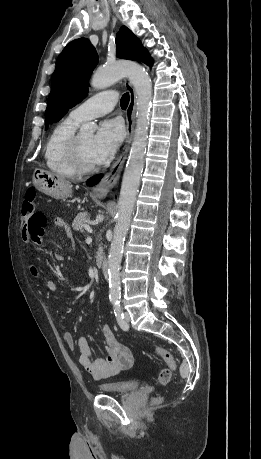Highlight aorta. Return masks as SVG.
Segmentation results:
<instances>
[{"label":"aorta","mask_w":261,"mask_h":459,"mask_svg":"<svg viewBox=\"0 0 261 459\" xmlns=\"http://www.w3.org/2000/svg\"><path fill=\"white\" fill-rule=\"evenodd\" d=\"M123 77H128L136 92V128L122 179L117 222L108 256L109 297L112 301L120 299V264L144 168L150 124L152 83L148 73L139 64L133 62H119L99 68L91 80V86L94 89H105ZM96 128L95 123L87 122L82 124L80 132L92 135Z\"/></svg>","instance_id":"aorta-1"}]
</instances>
